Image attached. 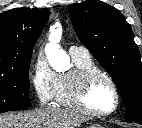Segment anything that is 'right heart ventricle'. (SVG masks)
Here are the masks:
<instances>
[{
    "label": "right heart ventricle",
    "instance_id": "e07e8e85",
    "mask_svg": "<svg viewBox=\"0 0 142 128\" xmlns=\"http://www.w3.org/2000/svg\"><path fill=\"white\" fill-rule=\"evenodd\" d=\"M72 60L75 65L74 70L98 69L95 63L93 62V60L91 59V57L88 58L72 57ZM70 74L58 75L57 88L54 95L56 105L67 109L74 108V106L71 103L70 93H69Z\"/></svg>",
    "mask_w": 142,
    "mask_h": 128
}]
</instances>
